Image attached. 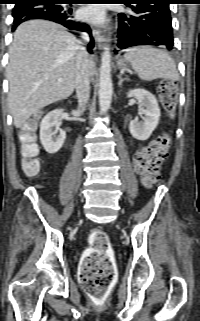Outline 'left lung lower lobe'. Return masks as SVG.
Here are the masks:
<instances>
[{"instance_id":"0a47b994","label":"left lung lower lobe","mask_w":200,"mask_h":321,"mask_svg":"<svg viewBox=\"0 0 200 321\" xmlns=\"http://www.w3.org/2000/svg\"><path fill=\"white\" fill-rule=\"evenodd\" d=\"M173 0H127L131 13L119 14L115 52L138 45H163L173 49V29L169 4ZM130 4H136L131 6Z\"/></svg>"}]
</instances>
